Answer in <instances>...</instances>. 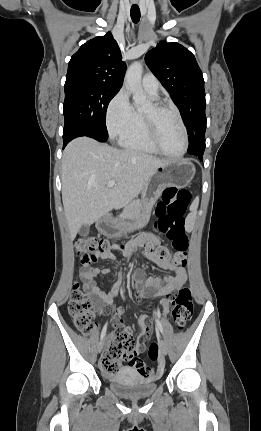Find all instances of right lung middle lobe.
<instances>
[{
    "label": "right lung middle lobe",
    "mask_w": 261,
    "mask_h": 431,
    "mask_svg": "<svg viewBox=\"0 0 261 431\" xmlns=\"http://www.w3.org/2000/svg\"><path fill=\"white\" fill-rule=\"evenodd\" d=\"M64 88V129L75 128L76 137L88 136L100 142L106 141V111L119 89L84 79L66 80Z\"/></svg>",
    "instance_id": "obj_1"
}]
</instances>
